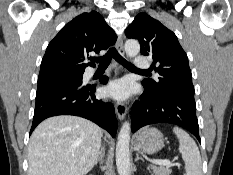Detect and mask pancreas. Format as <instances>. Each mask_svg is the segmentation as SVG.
<instances>
[{"label":"pancreas","mask_w":233,"mask_h":175,"mask_svg":"<svg viewBox=\"0 0 233 175\" xmlns=\"http://www.w3.org/2000/svg\"><path fill=\"white\" fill-rule=\"evenodd\" d=\"M151 169L154 172V175H170L171 174V169L169 167H157V166H151Z\"/></svg>","instance_id":"1"}]
</instances>
